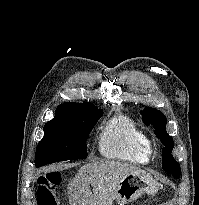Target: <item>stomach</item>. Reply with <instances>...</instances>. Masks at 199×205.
Instances as JSON below:
<instances>
[{"label":"stomach","mask_w":199,"mask_h":205,"mask_svg":"<svg viewBox=\"0 0 199 205\" xmlns=\"http://www.w3.org/2000/svg\"><path fill=\"white\" fill-rule=\"evenodd\" d=\"M157 192L158 183L150 174L146 172L129 174L119 184L116 201L118 205H125L144 193L154 195Z\"/></svg>","instance_id":"1"}]
</instances>
